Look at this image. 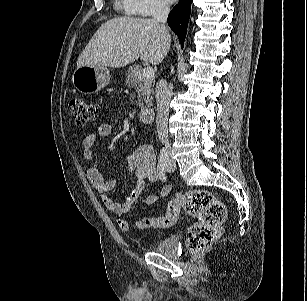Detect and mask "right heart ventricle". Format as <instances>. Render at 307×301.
Instances as JSON below:
<instances>
[{
    "instance_id": "obj_1",
    "label": "right heart ventricle",
    "mask_w": 307,
    "mask_h": 301,
    "mask_svg": "<svg viewBox=\"0 0 307 301\" xmlns=\"http://www.w3.org/2000/svg\"><path fill=\"white\" fill-rule=\"evenodd\" d=\"M120 6L126 9L129 13H132L127 7V0H119Z\"/></svg>"
}]
</instances>
